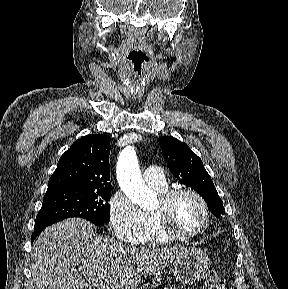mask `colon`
I'll list each match as a JSON object with an SVG mask.
<instances>
[{"label":"colon","instance_id":"5ec220e1","mask_svg":"<svg viewBox=\"0 0 288 289\" xmlns=\"http://www.w3.org/2000/svg\"><path fill=\"white\" fill-rule=\"evenodd\" d=\"M204 283L206 289H227L225 280L213 269L206 271Z\"/></svg>","mask_w":288,"mask_h":289}]
</instances>
